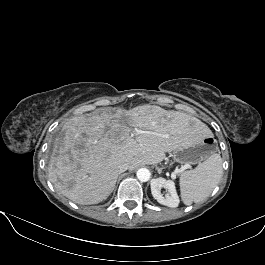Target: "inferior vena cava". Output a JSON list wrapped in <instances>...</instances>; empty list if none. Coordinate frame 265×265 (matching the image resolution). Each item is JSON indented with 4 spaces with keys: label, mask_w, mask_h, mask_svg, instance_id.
<instances>
[{
    "label": "inferior vena cava",
    "mask_w": 265,
    "mask_h": 265,
    "mask_svg": "<svg viewBox=\"0 0 265 265\" xmlns=\"http://www.w3.org/2000/svg\"><path fill=\"white\" fill-rule=\"evenodd\" d=\"M128 169H129V164L128 163H122L118 166V173L120 174V173H122Z\"/></svg>",
    "instance_id": "602c4592"
}]
</instances>
